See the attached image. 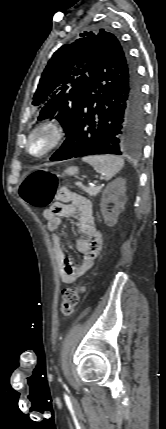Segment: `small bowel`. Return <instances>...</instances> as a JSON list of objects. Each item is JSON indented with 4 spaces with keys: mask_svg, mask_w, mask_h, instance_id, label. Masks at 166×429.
Returning <instances> with one entry per match:
<instances>
[{
    "mask_svg": "<svg viewBox=\"0 0 166 429\" xmlns=\"http://www.w3.org/2000/svg\"><path fill=\"white\" fill-rule=\"evenodd\" d=\"M56 200L50 208L44 210L43 216L47 221L48 230L52 233V247L59 276L64 283L71 284L93 266L103 248V234L95 225L90 203L87 202L85 205L71 203L70 199L59 196ZM77 212L79 213L78 229L86 236L75 243L77 251L82 255V262L78 265L66 257L61 245V237L57 233L61 226V217H70Z\"/></svg>",
    "mask_w": 166,
    "mask_h": 429,
    "instance_id": "1",
    "label": "small bowel"
}]
</instances>
